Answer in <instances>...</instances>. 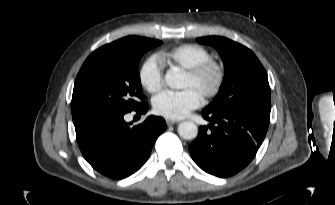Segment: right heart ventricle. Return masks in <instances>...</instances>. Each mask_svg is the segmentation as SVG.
I'll return each instance as SVG.
<instances>
[{
    "mask_svg": "<svg viewBox=\"0 0 335 205\" xmlns=\"http://www.w3.org/2000/svg\"><path fill=\"white\" fill-rule=\"evenodd\" d=\"M168 64L189 69L211 58L210 52L198 44H183L160 54Z\"/></svg>",
    "mask_w": 335,
    "mask_h": 205,
    "instance_id": "e07e8e85",
    "label": "right heart ventricle"
}]
</instances>
